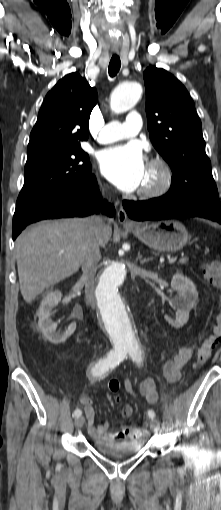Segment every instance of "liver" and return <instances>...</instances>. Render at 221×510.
<instances>
[{
  "label": "liver",
  "mask_w": 221,
  "mask_h": 510,
  "mask_svg": "<svg viewBox=\"0 0 221 510\" xmlns=\"http://www.w3.org/2000/svg\"><path fill=\"white\" fill-rule=\"evenodd\" d=\"M86 228L84 218L62 219L41 222L19 235L15 252L20 291L27 303L79 270ZM111 236L112 229L106 226L99 244L104 247Z\"/></svg>",
  "instance_id": "liver-1"
}]
</instances>
